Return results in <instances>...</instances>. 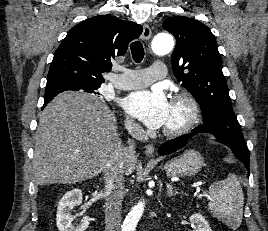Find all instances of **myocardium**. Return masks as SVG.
I'll return each instance as SVG.
<instances>
[{"label":"myocardium","instance_id":"obj_1","mask_svg":"<svg viewBox=\"0 0 268 231\" xmlns=\"http://www.w3.org/2000/svg\"><path fill=\"white\" fill-rule=\"evenodd\" d=\"M182 103L187 108V118L175 128H163L162 133L168 137H175L189 132L198 122L200 107L197 100L188 92H180L173 95L171 103Z\"/></svg>","mask_w":268,"mask_h":231}]
</instances>
